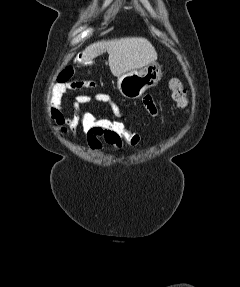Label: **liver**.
<instances>
[{
	"instance_id": "6515ba94",
	"label": "liver",
	"mask_w": 240,
	"mask_h": 287,
	"mask_svg": "<svg viewBox=\"0 0 240 287\" xmlns=\"http://www.w3.org/2000/svg\"><path fill=\"white\" fill-rule=\"evenodd\" d=\"M105 52L109 55V68L117 77L149 65L157 59L155 48L146 38L126 37L89 45L83 51L81 62L89 63Z\"/></svg>"
}]
</instances>
